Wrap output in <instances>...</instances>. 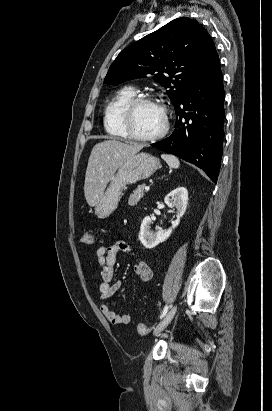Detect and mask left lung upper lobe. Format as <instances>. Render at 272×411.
<instances>
[{
  "mask_svg": "<svg viewBox=\"0 0 272 411\" xmlns=\"http://www.w3.org/2000/svg\"><path fill=\"white\" fill-rule=\"evenodd\" d=\"M215 44L195 20L174 19L125 48L109 68L104 83L153 77L167 89L175 106L217 59Z\"/></svg>",
  "mask_w": 272,
  "mask_h": 411,
  "instance_id": "5c2ea615",
  "label": "left lung upper lobe"
}]
</instances>
